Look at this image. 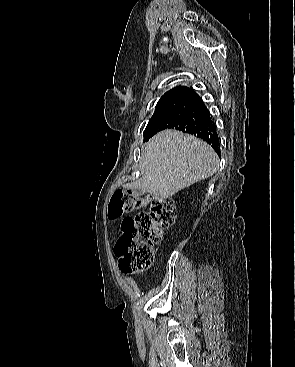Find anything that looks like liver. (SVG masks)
<instances>
[{"instance_id":"liver-1","label":"liver","mask_w":295,"mask_h":367,"mask_svg":"<svg viewBox=\"0 0 295 367\" xmlns=\"http://www.w3.org/2000/svg\"><path fill=\"white\" fill-rule=\"evenodd\" d=\"M142 176L128 185L155 197L168 198L217 172L218 156L202 140L164 130L142 146Z\"/></svg>"}]
</instances>
